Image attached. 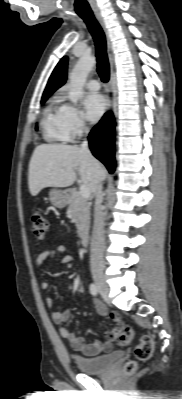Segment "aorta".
Here are the masks:
<instances>
[{"instance_id":"762f6f07","label":"aorta","mask_w":182,"mask_h":399,"mask_svg":"<svg viewBox=\"0 0 182 399\" xmlns=\"http://www.w3.org/2000/svg\"><path fill=\"white\" fill-rule=\"evenodd\" d=\"M96 64L94 56H82L74 66L68 84L69 100L77 104L83 98V87L88 74Z\"/></svg>"}]
</instances>
